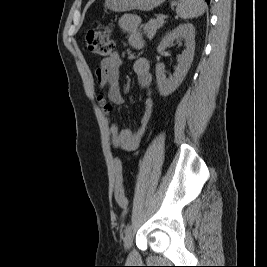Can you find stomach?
<instances>
[{"label": "stomach", "mask_w": 267, "mask_h": 267, "mask_svg": "<svg viewBox=\"0 0 267 267\" xmlns=\"http://www.w3.org/2000/svg\"><path fill=\"white\" fill-rule=\"evenodd\" d=\"M166 0H105V7L114 12L151 11Z\"/></svg>", "instance_id": "1"}]
</instances>
